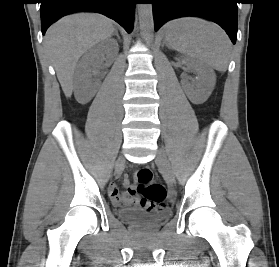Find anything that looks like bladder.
Returning a JSON list of instances; mask_svg holds the SVG:
<instances>
[{
    "label": "bladder",
    "mask_w": 279,
    "mask_h": 267,
    "mask_svg": "<svg viewBox=\"0 0 279 267\" xmlns=\"http://www.w3.org/2000/svg\"><path fill=\"white\" fill-rule=\"evenodd\" d=\"M120 216L123 220L136 226L155 227L168 219L169 214L161 213L154 216H149L134 209H123L120 211Z\"/></svg>",
    "instance_id": "obj_1"
}]
</instances>
